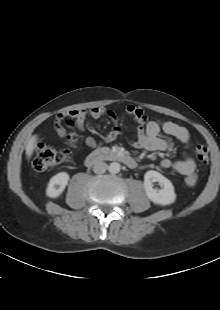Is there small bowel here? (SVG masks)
Listing matches in <instances>:
<instances>
[{
	"mask_svg": "<svg viewBox=\"0 0 220 310\" xmlns=\"http://www.w3.org/2000/svg\"><path fill=\"white\" fill-rule=\"evenodd\" d=\"M126 112L139 124L131 140V145L148 151H166L172 147V144L165 140L161 134L164 133L175 138L185 149L184 158L179 161L164 158L160 161V166L163 169H172L183 175L185 185H195L197 181L196 163L189 152L191 138L188 130L174 122L148 120L146 112L138 106L129 105L126 108ZM102 116H108L112 121V126L105 135L104 140L110 142L117 139L122 133L117 118L114 113L102 107L75 109L67 113L58 114L54 122V131L59 137L65 136L62 121L66 117L74 119L77 129L84 131L88 117L96 119ZM86 144L90 147H96L98 143L93 137H87Z\"/></svg>",
	"mask_w": 220,
	"mask_h": 310,
	"instance_id": "c3829d8e",
	"label": "small bowel"
}]
</instances>
